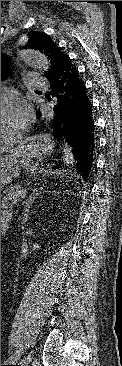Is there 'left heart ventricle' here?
Masks as SVG:
<instances>
[{"instance_id": "1", "label": "left heart ventricle", "mask_w": 122, "mask_h": 366, "mask_svg": "<svg viewBox=\"0 0 122 366\" xmlns=\"http://www.w3.org/2000/svg\"><path fill=\"white\" fill-rule=\"evenodd\" d=\"M19 104L1 107V137H9L20 128L22 117L18 110Z\"/></svg>"}]
</instances>
